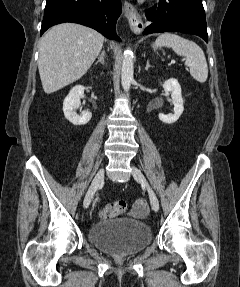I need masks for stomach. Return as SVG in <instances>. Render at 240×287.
I'll return each instance as SVG.
<instances>
[{
  "label": "stomach",
  "mask_w": 240,
  "mask_h": 287,
  "mask_svg": "<svg viewBox=\"0 0 240 287\" xmlns=\"http://www.w3.org/2000/svg\"><path fill=\"white\" fill-rule=\"evenodd\" d=\"M153 49H154V50L157 49L156 45H153Z\"/></svg>",
  "instance_id": "stomach-1"
}]
</instances>
